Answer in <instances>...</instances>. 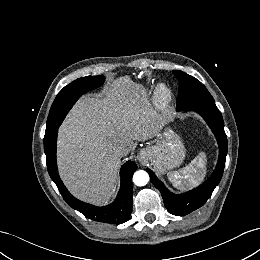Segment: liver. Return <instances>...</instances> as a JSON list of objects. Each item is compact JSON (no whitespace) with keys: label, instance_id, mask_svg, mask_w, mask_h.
<instances>
[{"label":"liver","instance_id":"liver-1","mask_svg":"<svg viewBox=\"0 0 260 260\" xmlns=\"http://www.w3.org/2000/svg\"><path fill=\"white\" fill-rule=\"evenodd\" d=\"M150 113L144 90L120 81L101 100L79 101L59 135L62 176L78 197L98 205L111 198L121 159L113 147L124 144L130 151L134 140L154 137L159 127Z\"/></svg>","mask_w":260,"mask_h":260}]
</instances>
